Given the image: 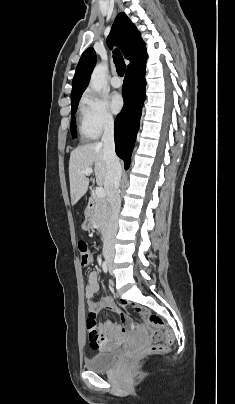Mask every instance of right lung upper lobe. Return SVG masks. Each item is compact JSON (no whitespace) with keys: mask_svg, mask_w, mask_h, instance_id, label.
<instances>
[{"mask_svg":"<svg viewBox=\"0 0 235 404\" xmlns=\"http://www.w3.org/2000/svg\"><path fill=\"white\" fill-rule=\"evenodd\" d=\"M107 44L110 48L114 44L121 48L125 58L130 61L127 70L147 60L145 44L141 39V35L124 12L117 15L107 38ZM95 64L96 53L90 47L83 52L77 65L72 84L71 102L79 101L88 86Z\"/></svg>","mask_w":235,"mask_h":404,"instance_id":"cb5924a9","label":"right lung upper lobe"}]
</instances>
